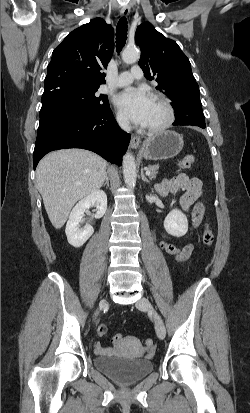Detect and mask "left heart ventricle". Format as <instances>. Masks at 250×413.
Listing matches in <instances>:
<instances>
[{
	"label": "left heart ventricle",
	"instance_id": "left-heart-ventricle-1",
	"mask_svg": "<svg viewBox=\"0 0 250 413\" xmlns=\"http://www.w3.org/2000/svg\"><path fill=\"white\" fill-rule=\"evenodd\" d=\"M165 118H166V113H165L164 108L160 104L152 100V104L150 106L147 121L144 126L145 127L158 126L164 122Z\"/></svg>",
	"mask_w": 250,
	"mask_h": 413
}]
</instances>
